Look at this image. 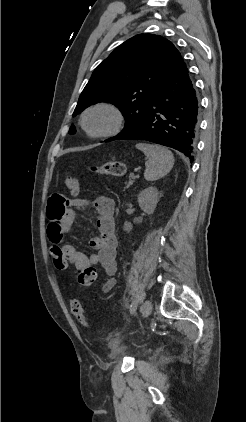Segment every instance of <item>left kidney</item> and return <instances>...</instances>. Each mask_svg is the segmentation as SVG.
I'll list each match as a JSON object with an SVG mask.
<instances>
[{
    "instance_id": "5707ae66",
    "label": "left kidney",
    "mask_w": 246,
    "mask_h": 422,
    "mask_svg": "<svg viewBox=\"0 0 246 422\" xmlns=\"http://www.w3.org/2000/svg\"><path fill=\"white\" fill-rule=\"evenodd\" d=\"M138 203L140 208L147 214H153L158 203V190L154 186H150L142 190L138 196ZM132 224L130 222L124 223V230L130 231Z\"/></svg>"
}]
</instances>
